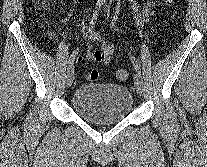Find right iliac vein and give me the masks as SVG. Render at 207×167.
<instances>
[{
    "label": "right iliac vein",
    "instance_id": "right-iliac-vein-1",
    "mask_svg": "<svg viewBox=\"0 0 207 167\" xmlns=\"http://www.w3.org/2000/svg\"><path fill=\"white\" fill-rule=\"evenodd\" d=\"M74 80V66H70L66 74V87L69 88Z\"/></svg>",
    "mask_w": 207,
    "mask_h": 167
}]
</instances>
